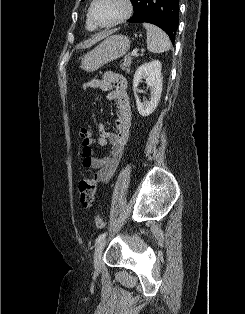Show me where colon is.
I'll list each match as a JSON object with an SVG mask.
<instances>
[{
	"label": "colon",
	"instance_id": "colon-1",
	"mask_svg": "<svg viewBox=\"0 0 245 314\" xmlns=\"http://www.w3.org/2000/svg\"><path fill=\"white\" fill-rule=\"evenodd\" d=\"M79 194L81 203L84 207H89L94 201L96 194V182L92 175L86 176L79 182ZM96 226L99 229H103L106 226V223L101 218V216L96 217Z\"/></svg>",
	"mask_w": 245,
	"mask_h": 314
}]
</instances>
